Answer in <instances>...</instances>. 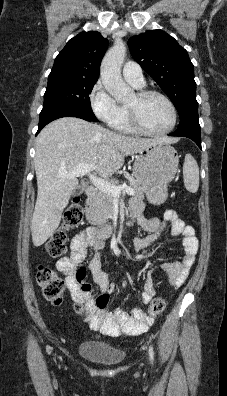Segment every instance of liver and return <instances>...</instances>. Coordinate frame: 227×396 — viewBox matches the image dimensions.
<instances>
[{
    "instance_id": "1",
    "label": "liver",
    "mask_w": 227,
    "mask_h": 396,
    "mask_svg": "<svg viewBox=\"0 0 227 396\" xmlns=\"http://www.w3.org/2000/svg\"><path fill=\"white\" fill-rule=\"evenodd\" d=\"M175 139L131 138L76 117H63L48 124L36 138L34 159L37 200L31 221L34 246L44 244L58 228L63 209L78 186L75 178H61L79 164H94L96 173L111 177L125 156L157 143L171 144Z\"/></svg>"
}]
</instances>
